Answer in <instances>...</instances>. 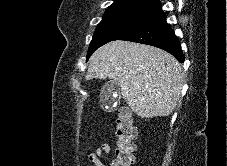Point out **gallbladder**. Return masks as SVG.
Listing matches in <instances>:
<instances>
[{"mask_svg": "<svg viewBox=\"0 0 227 166\" xmlns=\"http://www.w3.org/2000/svg\"><path fill=\"white\" fill-rule=\"evenodd\" d=\"M120 86L115 80H110L105 83L100 91L101 106L109 111L114 110L116 107L114 103L118 104L120 100Z\"/></svg>", "mask_w": 227, "mask_h": 166, "instance_id": "obj_1", "label": "gallbladder"}]
</instances>
